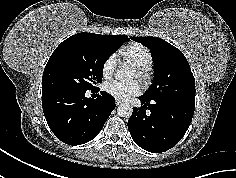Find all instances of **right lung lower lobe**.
Returning a JSON list of instances; mask_svg holds the SVG:
<instances>
[{"label":"right lung lower lobe","instance_id":"1","mask_svg":"<svg viewBox=\"0 0 236 178\" xmlns=\"http://www.w3.org/2000/svg\"><path fill=\"white\" fill-rule=\"evenodd\" d=\"M86 91L71 89L42 90V106L47 124L62 142L81 145L94 139L115 109L106 92L87 98Z\"/></svg>","mask_w":236,"mask_h":178}]
</instances>
